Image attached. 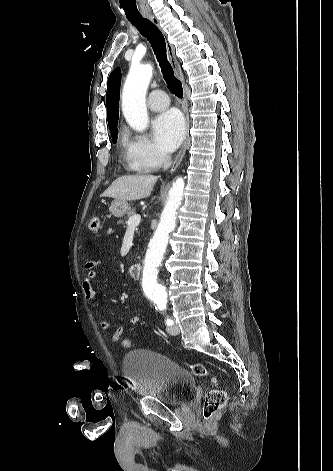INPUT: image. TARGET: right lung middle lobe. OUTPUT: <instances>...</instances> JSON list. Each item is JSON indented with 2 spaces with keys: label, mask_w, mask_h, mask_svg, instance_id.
<instances>
[{
  "label": "right lung middle lobe",
  "mask_w": 333,
  "mask_h": 471,
  "mask_svg": "<svg viewBox=\"0 0 333 471\" xmlns=\"http://www.w3.org/2000/svg\"><path fill=\"white\" fill-rule=\"evenodd\" d=\"M117 134H118V129L115 128V130L111 132L113 143H116L117 141Z\"/></svg>",
  "instance_id": "1"
}]
</instances>
